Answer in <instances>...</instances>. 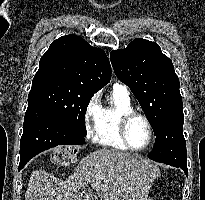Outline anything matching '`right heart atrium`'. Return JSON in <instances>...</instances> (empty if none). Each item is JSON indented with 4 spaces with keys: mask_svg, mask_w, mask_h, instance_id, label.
Returning a JSON list of instances; mask_svg holds the SVG:
<instances>
[{
    "mask_svg": "<svg viewBox=\"0 0 205 200\" xmlns=\"http://www.w3.org/2000/svg\"><path fill=\"white\" fill-rule=\"evenodd\" d=\"M100 94H93L88 100L84 109V128L86 137L94 139L97 130V123L101 111Z\"/></svg>",
    "mask_w": 205,
    "mask_h": 200,
    "instance_id": "obj_1",
    "label": "right heart atrium"
}]
</instances>
